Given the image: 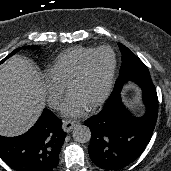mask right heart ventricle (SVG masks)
I'll list each match as a JSON object with an SVG mask.
<instances>
[{
    "label": "right heart ventricle",
    "mask_w": 171,
    "mask_h": 171,
    "mask_svg": "<svg viewBox=\"0 0 171 171\" xmlns=\"http://www.w3.org/2000/svg\"><path fill=\"white\" fill-rule=\"evenodd\" d=\"M94 48L76 47L59 54L49 69V73L61 84L67 86L82 61Z\"/></svg>",
    "instance_id": "e07e8e85"
}]
</instances>
